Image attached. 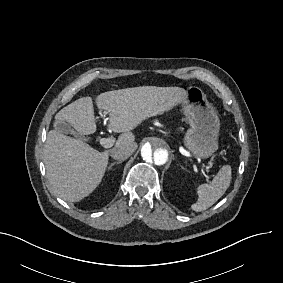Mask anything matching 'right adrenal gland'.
I'll return each instance as SVG.
<instances>
[{
    "instance_id": "1",
    "label": "right adrenal gland",
    "mask_w": 283,
    "mask_h": 283,
    "mask_svg": "<svg viewBox=\"0 0 283 283\" xmlns=\"http://www.w3.org/2000/svg\"><path fill=\"white\" fill-rule=\"evenodd\" d=\"M122 161H117V162H113L111 163V165L108 167V169H112V167L115 165V164H121Z\"/></svg>"
}]
</instances>
